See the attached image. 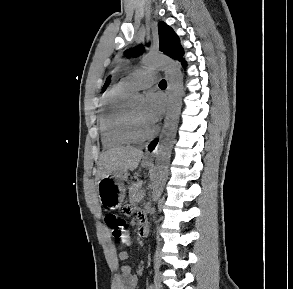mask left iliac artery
<instances>
[{"label":"left iliac artery","mask_w":293,"mask_h":289,"mask_svg":"<svg viewBox=\"0 0 293 289\" xmlns=\"http://www.w3.org/2000/svg\"><path fill=\"white\" fill-rule=\"evenodd\" d=\"M147 289H153V285H150Z\"/></svg>","instance_id":"left-iliac-artery-1"}]
</instances>
